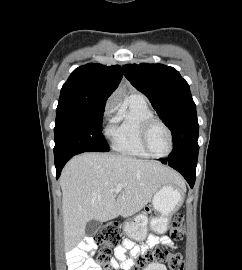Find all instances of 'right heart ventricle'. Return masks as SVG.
I'll list each match as a JSON object with an SVG mask.
<instances>
[{
  "label": "right heart ventricle",
  "mask_w": 242,
  "mask_h": 270,
  "mask_svg": "<svg viewBox=\"0 0 242 270\" xmlns=\"http://www.w3.org/2000/svg\"><path fill=\"white\" fill-rule=\"evenodd\" d=\"M154 116L143 96L126 98L118 107L109 128V136L115 151L139 158H149L141 140V128L145 120Z\"/></svg>",
  "instance_id": "right-heart-ventricle-1"
}]
</instances>
